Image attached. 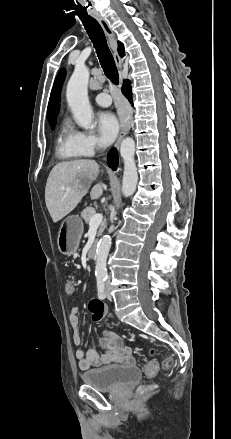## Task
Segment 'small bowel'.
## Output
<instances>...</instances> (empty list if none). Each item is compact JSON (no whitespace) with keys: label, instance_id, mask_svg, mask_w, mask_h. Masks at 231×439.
I'll return each mask as SVG.
<instances>
[{"label":"small bowel","instance_id":"small-bowel-1","mask_svg":"<svg viewBox=\"0 0 231 439\" xmlns=\"http://www.w3.org/2000/svg\"><path fill=\"white\" fill-rule=\"evenodd\" d=\"M74 344L77 346L75 357L81 370H88L92 366H104L109 364H132L134 358L132 351L124 344L123 339L114 332L104 331L100 339L102 351L92 348L84 351L81 345V321L79 308L73 307L69 315Z\"/></svg>","mask_w":231,"mask_h":439}]
</instances>
